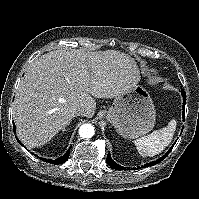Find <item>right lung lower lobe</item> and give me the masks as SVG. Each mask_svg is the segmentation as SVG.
Returning <instances> with one entry per match:
<instances>
[{"label":"right lung lower lobe","instance_id":"1","mask_svg":"<svg viewBox=\"0 0 199 199\" xmlns=\"http://www.w3.org/2000/svg\"><path fill=\"white\" fill-rule=\"evenodd\" d=\"M14 131H15V126H14ZM17 141L22 145V143L18 139H17ZM68 157H69V150L63 156H61L55 160L45 159V158H40V159L44 160L45 162L52 163V164H62L67 161Z\"/></svg>","mask_w":199,"mask_h":199}]
</instances>
